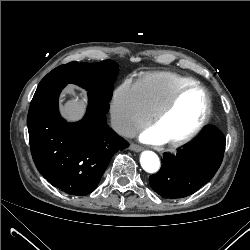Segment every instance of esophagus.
I'll return each instance as SVG.
<instances>
[{
	"label": "esophagus",
	"mask_w": 250,
	"mask_h": 250,
	"mask_svg": "<svg viewBox=\"0 0 250 250\" xmlns=\"http://www.w3.org/2000/svg\"><path fill=\"white\" fill-rule=\"evenodd\" d=\"M129 149L131 151L140 152L142 150V147L137 144H130Z\"/></svg>",
	"instance_id": "1"
}]
</instances>
